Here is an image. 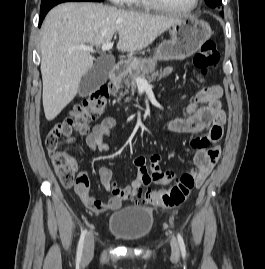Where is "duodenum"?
<instances>
[{"instance_id": "410a0bca", "label": "duodenum", "mask_w": 265, "mask_h": 269, "mask_svg": "<svg viewBox=\"0 0 265 269\" xmlns=\"http://www.w3.org/2000/svg\"><path fill=\"white\" fill-rule=\"evenodd\" d=\"M123 72H124V69L121 62H118L111 68L110 74H109L111 87L115 86L116 83L120 81V79L123 76Z\"/></svg>"}]
</instances>
